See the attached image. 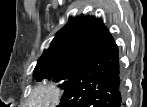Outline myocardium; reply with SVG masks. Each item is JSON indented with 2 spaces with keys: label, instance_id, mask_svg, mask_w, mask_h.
Listing matches in <instances>:
<instances>
[{
  "label": "myocardium",
  "instance_id": "obj_1",
  "mask_svg": "<svg viewBox=\"0 0 147 107\" xmlns=\"http://www.w3.org/2000/svg\"><path fill=\"white\" fill-rule=\"evenodd\" d=\"M61 97L60 86L52 81L37 84L29 95V102L41 106L56 104Z\"/></svg>",
  "mask_w": 147,
  "mask_h": 107
}]
</instances>
